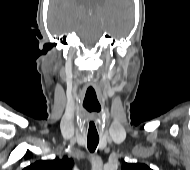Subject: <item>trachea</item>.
<instances>
[{
    "label": "trachea",
    "mask_w": 190,
    "mask_h": 170,
    "mask_svg": "<svg viewBox=\"0 0 190 170\" xmlns=\"http://www.w3.org/2000/svg\"><path fill=\"white\" fill-rule=\"evenodd\" d=\"M98 143H99V136L88 135L87 147H88L90 152L95 151V149L97 148Z\"/></svg>",
    "instance_id": "3493384b"
}]
</instances>
